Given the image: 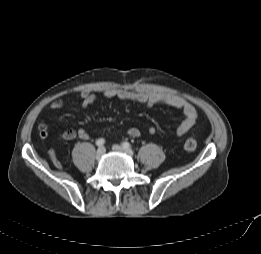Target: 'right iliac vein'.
<instances>
[{"label": "right iliac vein", "mask_w": 261, "mask_h": 254, "mask_svg": "<svg viewBox=\"0 0 261 254\" xmlns=\"http://www.w3.org/2000/svg\"><path fill=\"white\" fill-rule=\"evenodd\" d=\"M104 154H105V148L100 147V148H98L95 157H96L97 160H100Z\"/></svg>", "instance_id": "1"}]
</instances>
